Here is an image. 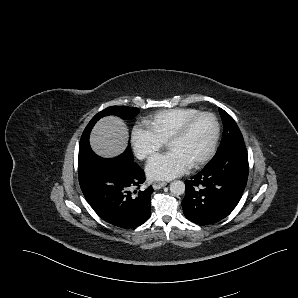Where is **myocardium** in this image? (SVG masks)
Listing matches in <instances>:
<instances>
[{"mask_svg":"<svg viewBox=\"0 0 298 298\" xmlns=\"http://www.w3.org/2000/svg\"><path fill=\"white\" fill-rule=\"evenodd\" d=\"M202 117H206L211 121V125H212V134H211V138L208 142L207 148L206 150L195 160L193 161L190 165L189 168H194L196 166H198L199 164H201L202 162H204L211 154L217 136H218V124L217 121L215 119V117L208 113V112H199L198 114L187 118L185 120H183L182 122H180L177 127L171 131L167 137L165 138V146L167 148H169L171 142L173 140H175L176 138H178L181 134H183L194 122H196L198 119L202 118Z\"/></svg>","mask_w":298,"mask_h":298,"instance_id":"f54148a6","label":"myocardium"}]
</instances>
